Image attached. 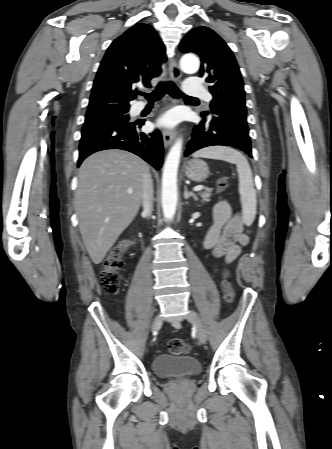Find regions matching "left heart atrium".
<instances>
[{"label": "left heart atrium", "instance_id": "1", "mask_svg": "<svg viewBox=\"0 0 332 449\" xmlns=\"http://www.w3.org/2000/svg\"><path fill=\"white\" fill-rule=\"evenodd\" d=\"M180 121V116L175 111H170L163 114L159 120L158 125L165 128H172L178 124Z\"/></svg>", "mask_w": 332, "mask_h": 449}]
</instances>
